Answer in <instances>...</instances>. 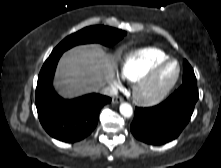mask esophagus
I'll return each mask as SVG.
<instances>
[{
    "mask_svg": "<svg viewBox=\"0 0 221 168\" xmlns=\"http://www.w3.org/2000/svg\"><path fill=\"white\" fill-rule=\"evenodd\" d=\"M122 101H123V98L122 97H118V96L113 97V99H112V103L113 104H118V103H120Z\"/></svg>",
    "mask_w": 221,
    "mask_h": 168,
    "instance_id": "obj_1",
    "label": "esophagus"
}]
</instances>
